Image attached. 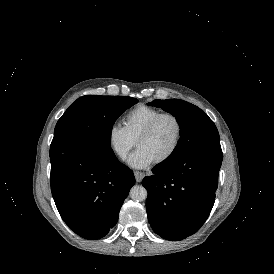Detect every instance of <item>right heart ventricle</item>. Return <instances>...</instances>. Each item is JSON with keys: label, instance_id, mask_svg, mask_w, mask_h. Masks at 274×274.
<instances>
[{"label": "right heart ventricle", "instance_id": "e07e8e85", "mask_svg": "<svg viewBox=\"0 0 274 274\" xmlns=\"http://www.w3.org/2000/svg\"><path fill=\"white\" fill-rule=\"evenodd\" d=\"M160 113L158 109L141 105L123 116V127L135 140L145 126Z\"/></svg>", "mask_w": 274, "mask_h": 274}]
</instances>
